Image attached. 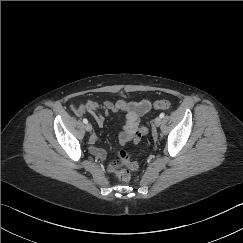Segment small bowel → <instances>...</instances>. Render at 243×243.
<instances>
[{"mask_svg":"<svg viewBox=\"0 0 243 243\" xmlns=\"http://www.w3.org/2000/svg\"><path fill=\"white\" fill-rule=\"evenodd\" d=\"M151 109V102L149 100H141L137 102H127L118 100L116 102L105 101L99 104L95 101L89 100L77 106L76 113L81 116L84 114L94 115L95 120L99 126L104 125L105 116L122 113L124 116V124L119 131V145L124 147L129 142L137 144L144 134L140 123V118L149 112ZM90 143L94 145L98 141L96 135H92L89 139ZM91 154L97 159L103 160L106 156L105 151L101 148L92 146L90 148ZM118 165L110 163L108 165V172L115 173Z\"/></svg>","mask_w":243,"mask_h":243,"instance_id":"obj_1","label":"small bowel"}]
</instances>
